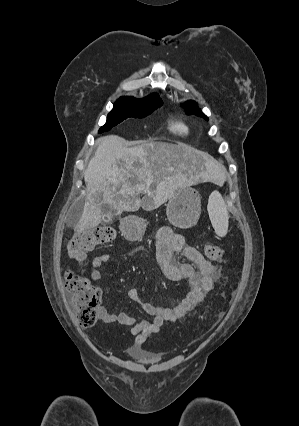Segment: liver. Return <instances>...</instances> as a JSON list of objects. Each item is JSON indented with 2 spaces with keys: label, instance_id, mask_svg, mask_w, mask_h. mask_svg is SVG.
Listing matches in <instances>:
<instances>
[{
  "label": "liver",
  "instance_id": "obj_1",
  "mask_svg": "<svg viewBox=\"0 0 299 426\" xmlns=\"http://www.w3.org/2000/svg\"><path fill=\"white\" fill-rule=\"evenodd\" d=\"M204 160V176L222 181L225 168L213 157L183 143L148 142L128 147L116 135L100 139L95 155L83 172L86 199L77 223L79 231L96 228L102 205L117 214L153 210L169 200L187 181L185 172ZM146 194L142 199L139 194Z\"/></svg>",
  "mask_w": 299,
  "mask_h": 426
}]
</instances>
